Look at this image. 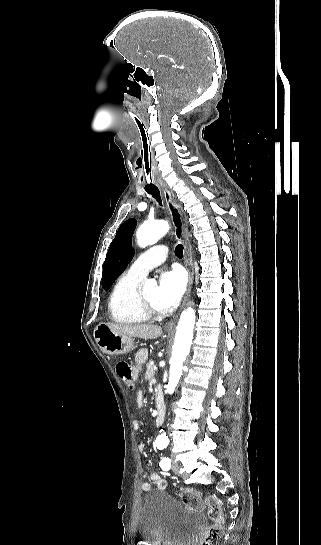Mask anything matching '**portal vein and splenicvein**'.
<instances>
[{
	"instance_id": "18ae733b",
	"label": "portal vein and splenic vein",
	"mask_w": 321,
	"mask_h": 545,
	"mask_svg": "<svg viewBox=\"0 0 321 545\" xmlns=\"http://www.w3.org/2000/svg\"><path fill=\"white\" fill-rule=\"evenodd\" d=\"M153 370L157 371V365H154Z\"/></svg>"
}]
</instances>
